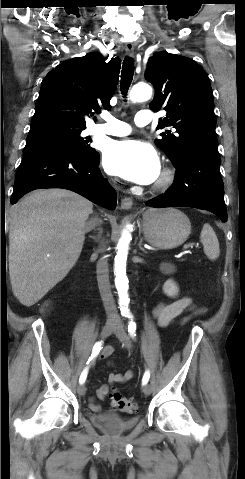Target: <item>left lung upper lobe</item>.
Masks as SVG:
<instances>
[{
    "mask_svg": "<svg viewBox=\"0 0 245 479\" xmlns=\"http://www.w3.org/2000/svg\"><path fill=\"white\" fill-rule=\"evenodd\" d=\"M145 77L155 88L150 109L167 111L157 129H176L155 140L173 165L190 153L217 150L213 93L202 67L190 58L158 52L149 58Z\"/></svg>",
    "mask_w": 245,
    "mask_h": 479,
    "instance_id": "5c2ea615",
    "label": "left lung upper lobe"
}]
</instances>
